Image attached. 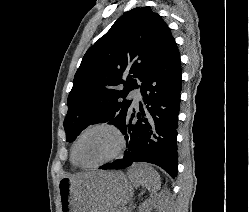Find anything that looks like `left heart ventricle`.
I'll return each instance as SVG.
<instances>
[{"instance_id":"left-heart-ventricle-1","label":"left heart ventricle","mask_w":249,"mask_h":212,"mask_svg":"<svg viewBox=\"0 0 249 212\" xmlns=\"http://www.w3.org/2000/svg\"><path fill=\"white\" fill-rule=\"evenodd\" d=\"M118 139L109 130H97L85 135L77 146V159L84 165L99 163L116 153Z\"/></svg>"}]
</instances>
